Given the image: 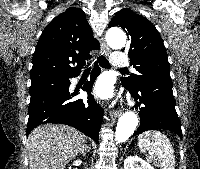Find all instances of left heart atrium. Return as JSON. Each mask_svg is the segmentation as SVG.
<instances>
[{
  "instance_id": "left-heart-atrium-1",
  "label": "left heart atrium",
  "mask_w": 200,
  "mask_h": 169,
  "mask_svg": "<svg viewBox=\"0 0 200 169\" xmlns=\"http://www.w3.org/2000/svg\"><path fill=\"white\" fill-rule=\"evenodd\" d=\"M94 94L98 98L102 99L111 98L113 95V87L111 82L105 78H101L95 86Z\"/></svg>"
}]
</instances>
